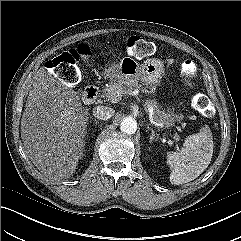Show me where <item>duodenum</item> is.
I'll return each mask as SVG.
<instances>
[{
	"mask_svg": "<svg viewBox=\"0 0 241 241\" xmlns=\"http://www.w3.org/2000/svg\"><path fill=\"white\" fill-rule=\"evenodd\" d=\"M98 95V87L95 85L88 86L83 93V101L86 104H91L95 101Z\"/></svg>",
	"mask_w": 241,
	"mask_h": 241,
	"instance_id": "duodenum-1",
	"label": "duodenum"
}]
</instances>
